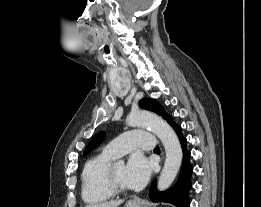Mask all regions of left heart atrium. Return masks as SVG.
I'll list each match as a JSON object with an SVG mask.
<instances>
[{
    "mask_svg": "<svg viewBox=\"0 0 261 207\" xmlns=\"http://www.w3.org/2000/svg\"><path fill=\"white\" fill-rule=\"evenodd\" d=\"M152 164L142 154H133L126 165L125 180L129 188H140L151 174Z\"/></svg>",
    "mask_w": 261,
    "mask_h": 207,
    "instance_id": "39dd6f15",
    "label": "left heart atrium"
}]
</instances>
